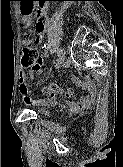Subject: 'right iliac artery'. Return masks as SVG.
Listing matches in <instances>:
<instances>
[{"label": "right iliac artery", "instance_id": "82829eb1", "mask_svg": "<svg viewBox=\"0 0 123 167\" xmlns=\"http://www.w3.org/2000/svg\"><path fill=\"white\" fill-rule=\"evenodd\" d=\"M61 52H62V49H58L57 50V55L60 56Z\"/></svg>", "mask_w": 123, "mask_h": 167}]
</instances>
